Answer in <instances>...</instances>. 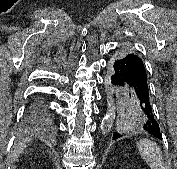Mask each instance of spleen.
Listing matches in <instances>:
<instances>
[{
    "instance_id": "obj_1",
    "label": "spleen",
    "mask_w": 177,
    "mask_h": 169,
    "mask_svg": "<svg viewBox=\"0 0 177 169\" xmlns=\"http://www.w3.org/2000/svg\"><path fill=\"white\" fill-rule=\"evenodd\" d=\"M139 153L151 169H165L160 147L156 142L143 139L137 142Z\"/></svg>"
}]
</instances>
